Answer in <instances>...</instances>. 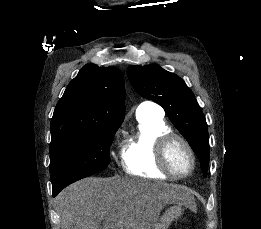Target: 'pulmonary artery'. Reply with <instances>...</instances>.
Instances as JSON below:
<instances>
[{
    "instance_id": "pulmonary-artery-1",
    "label": "pulmonary artery",
    "mask_w": 261,
    "mask_h": 229,
    "mask_svg": "<svg viewBox=\"0 0 261 229\" xmlns=\"http://www.w3.org/2000/svg\"><path fill=\"white\" fill-rule=\"evenodd\" d=\"M137 109H139V110H147L148 109V110L156 111L158 113H161L163 111V109L159 105H157V104H155L151 101H148V100L141 102ZM142 116H143L142 114H136L137 118L142 117Z\"/></svg>"
}]
</instances>
